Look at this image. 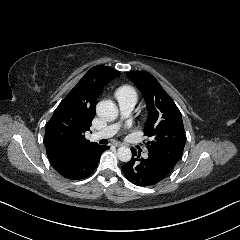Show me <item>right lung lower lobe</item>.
I'll return each instance as SVG.
<instances>
[{"label": "right lung lower lobe", "instance_id": "98d812e1", "mask_svg": "<svg viewBox=\"0 0 240 240\" xmlns=\"http://www.w3.org/2000/svg\"><path fill=\"white\" fill-rule=\"evenodd\" d=\"M109 146H94L74 156L57 157L50 162L63 177L80 180L88 177L97 167L101 154Z\"/></svg>", "mask_w": 240, "mask_h": 240}]
</instances>
